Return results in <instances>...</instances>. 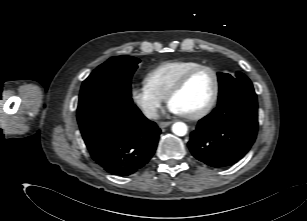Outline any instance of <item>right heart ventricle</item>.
Listing matches in <instances>:
<instances>
[{
    "label": "right heart ventricle",
    "instance_id": "e07e8e85",
    "mask_svg": "<svg viewBox=\"0 0 307 221\" xmlns=\"http://www.w3.org/2000/svg\"><path fill=\"white\" fill-rule=\"evenodd\" d=\"M201 65L193 60L166 61L151 69L144 77V84L154 94L165 98L175 82L188 70Z\"/></svg>",
    "mask_w": 307,
    "mask_h": 221
}]
</instances>
